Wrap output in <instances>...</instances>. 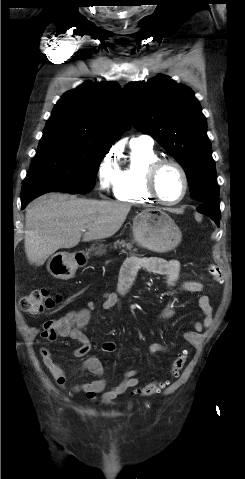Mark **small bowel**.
Masks as SVG:
<instances>
[{
  "label": "small bowel",
  "mask_w": 245,
  "mask_h": 479,
  "mask_svg": "<svg viewBox=\"0 0 245 479\" xmlns=\"http://www.w3.org/2000/svg\"><path fill=\"white\" fill-rule=\"evenodd\" d=\"M180 267L179 261L175 259L165 260L158 257H128L124 261L120 270L117 291L104 294V301L101 308L103 310H110L113 308L120 309L122 298L130 292L137 273L141 269L162 275L166 280L167 286L170 288H177L181 292H201L203 290V285L199 281L186 280L179 282ZM198 303L204 318L202 321H196L194 323V331L185 333V338L187 340H192L195 333L204 331L206 328L210 327L214 321V308L210 302V298L207 295L202 294L198 298ZM97 309L98 306L91 302L88 303L85 308L71 311L56 320L64 327L61 337H68L78 342L79 346L73 352V355L76 358L86 356L91 350V342L83 329L90 322L92 312ZM173 314L174 306L172 303H169L161 312L159 320H167L172 317ZM102 349L107 353H113L116 351L117 345L115 342L107 341L103 343ZM167 351L168 347L162 343L154 342L149 346V352L151 355ZM40 355L57 384L62 388H66L67 372L62 365L53 358L50 349L46 346H42L40 348ZM82 369L94 374L98 378L76 385L72 390L75 392H83L86 397L92 401H97V396L101 394V402L104 404H110L115 398L139 384L136 371L128 370L124 372L123 378L118 385L106 390L107 381L103 377L104 369L102 363L94 356L88 357L85 360Z\"/></svg>",
  "instance_id": "c3829d8e"
}]
</instances>
